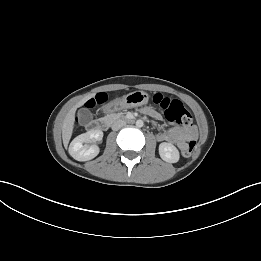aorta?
<instances>
[{"label": "aorta", "mask_w": 261, "mask_h": 261, "mask_svg": "<svg viewBox=\"0 0 261 261\" xmlns=\"http://www.w3.org/2000/svg\"><path fill=\"white\" fill-rule=\"evenodd\" d=\"M143 124H144V123H143L142 120H137V121H136V126H137V127H142Z\"/></svg>", "instance_id": "762f6f07"}]
</instances>
